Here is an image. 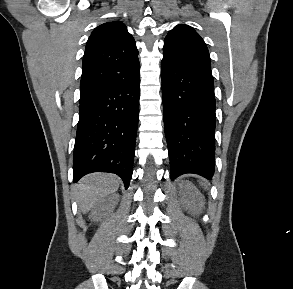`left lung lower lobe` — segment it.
I'll return each mask as SVG.
<instances>
[{"mask_svg": "<svg viewBox=\"0 0 293 289\" xmlns=\"http://www.w3.org/2000/svg\"><path fill=\"white\" fill-rule=\"evenodd\" d=\"M164 128L171 179H211L215 168V97L211 69L161 62Z\"/></svg>", "mask_w": 293, "mask_h": 289, "instance_id": "obj_1", "label": "left lung lower lobe"}]
</instances>
